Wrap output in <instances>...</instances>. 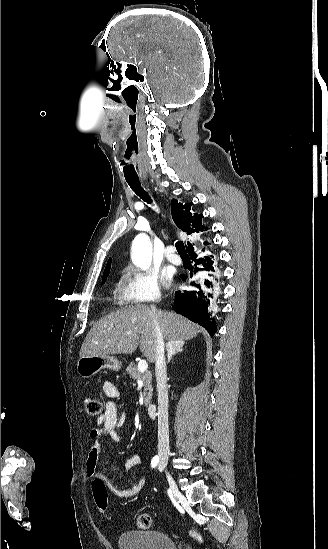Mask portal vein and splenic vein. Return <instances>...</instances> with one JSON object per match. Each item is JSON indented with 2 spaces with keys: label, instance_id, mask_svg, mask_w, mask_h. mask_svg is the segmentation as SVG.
Segmentation results:
<instances>
[{
  "label": "portal vein and splenic vein",
  "instance_id": "18ae733b",
  "mask_svg": "<svg viewBox=\"0 0 328 549\" xmlns=\"http://www.w3.org/2000/svg\"><path fill=\"white\" fill-rule=\"evenodd\" d=\"M128 335H131V333H128ZM147 369H148L147 361H139L138 371H140V373H144V371H147Z\"/></svg>",
  "mask_w": 328,
  "mask_h": 549
}]
</instances>
